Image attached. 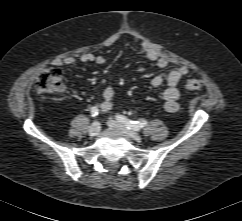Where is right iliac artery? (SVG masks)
I'll use <instances>...</instances> for the list:
<instances>
[{
  "label": "right iliac artery",
  "instance_id": "82829eb1",
  "mask_svg": "<svg viewBox=\"0 0 242 221\" xmlns=\"http://www.w3.org/2000/svg\"><path fill=\"white\" fill-rule=\"evenodd\" d=\"M99 114V109L97 106L91 108V116L96 117Z\"/></svg>",
  "mask_w": 242,
  "mask_h": 221
}]
</instances>
